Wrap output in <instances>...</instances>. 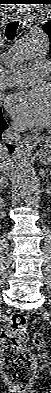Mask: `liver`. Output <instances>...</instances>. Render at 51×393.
<instances>
[{
    "mask_svg": "<svg viewBox=\"0 0 51 393\" xmlns=\"http://www.w3.org/2000/svg\"><path fill=\"white\" fill-rule=\"evenodd\" d=\"M5 161L6 163H10L11 158L9 157V154L7 150L1 145L0 149V164Z\"/></svg>",
    "mask_w": 51,
    "mask_h": 393,
    "instance_id": "liver-1",
    "label": "liver"
}]
</instances>
